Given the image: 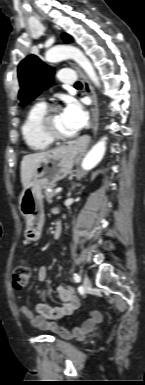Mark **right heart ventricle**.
<instances>
[{"instance_id": "1", "label": "right heart ventricle", "mask_w": 145, "mask_h": 385, "mask_svg": "<svg viewBox=\"0 0 145 385\" xmlns=\"http://www.w3.org/2000/svg\"><path fill=\"white\" fill-rule=\"evenodd\" d=\"M47 106L45 103H35L27 111L21 125V134L26 146L33 151L47 149L52 141L47 139L39 128V122L45 113Z\"/></svg>"}]
</instances>
